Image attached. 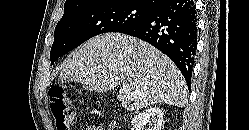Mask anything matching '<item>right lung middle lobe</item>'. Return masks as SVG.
<instances>
[{"mask_svg":"<svg viewBox=\"0 0 249 130\" xmlns=\"http://www.w3.org/2000/svg\"><path fill=\"white\" fill-rule=\"evenodd\" d=\"M152 10L132 0H107L65 11L55 28L50 52L51 64L96 35L120 32L143 21Z\"/></svg>","mask_w":249,"mask_h":130,"instance_id":"obj_1","label":"right lung middle lobe"}]
</instances>
